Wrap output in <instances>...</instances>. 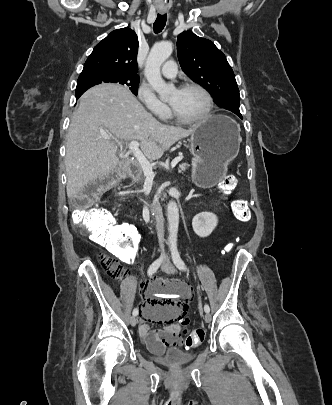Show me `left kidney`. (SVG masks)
Instances as JSON below:
<instances>
[{"instance_id":"obj_1","label":"left kidney","mask_w":332,"mask_h":405,"mask_svg":"<svg viewBox=\"0 0 332 405\" xmlns=\"http://www.w3.org/2000/svg\"><path fill=\"white\" fill-rule=\"evenodd\" d=\"M218 224V219L215 214L210 212H202L194 216L192 227L196 235L199 237H208Z\"/></svg>"}]
</instances>
